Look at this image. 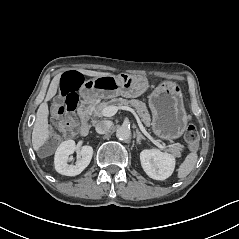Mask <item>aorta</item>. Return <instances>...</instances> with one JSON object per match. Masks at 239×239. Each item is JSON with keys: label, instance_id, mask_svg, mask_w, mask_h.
Listing matches in <instances>:
<instances>
[{"label": "aorta", "instance_id": "obj_1", "mask_svg": "<svg viewBox=\"0 0 239 239\" xmlns=\"http://www.w3.org/2000/svg\"><path fill=\"white\" fill-rule=\"evenodd\" d=\"M116 137L119 140H128L131 137V130L128 126H120L116 130Z\"/></svg>", "mask_w": 239, "mask_h": 239}]
</instances>
